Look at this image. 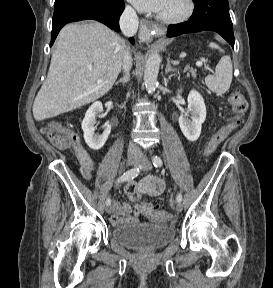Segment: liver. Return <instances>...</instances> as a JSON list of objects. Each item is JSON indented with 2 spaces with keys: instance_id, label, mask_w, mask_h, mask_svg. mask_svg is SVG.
Here are the masks:
<instances>
[{
  "instance_id": "6515ba94",
  "label": "liver",
  "mask_w": 273,
  "mask_h": 288,
  "mask_svg": "<svg viewBox=\"0 0 273 288\" xmlns=\"http://www.w3.org/2000/svg\"><path fill=\"white\" fill-rule=\"evenodd\" d=\"M125 51L124 40L102 23L64 26L47 79L34 100L35 120L56 117L104 96L121 71Z\"/></svg>"
}]
</instances>
